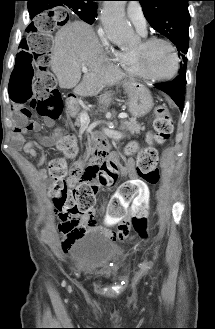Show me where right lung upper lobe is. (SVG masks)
I'll return each mask as SVG.
<instances>
[{
	"label": "right lung upper lobe",
	"instance_id": "obj_1",
	"mask_svg": "<svg viewBox=\"0 0 215 329\" xmlns=\"http://www.w3.org/2000/svg\"><path fill=\"white\" fill-rule=\"evenodd\" d=\"M33 1V0H28ZM39 1L43 11L46 9H51L53 7H63L64 3L67 1H75L85 4L88 8L92 10V13L96 15L97 12V4L95 1L97 0H34Z\"/></svg>",
	"mask_w": 215,
	"mask_h": 329
}]
</instances>
